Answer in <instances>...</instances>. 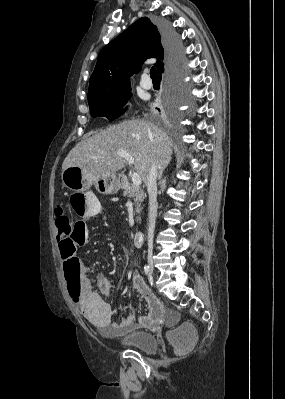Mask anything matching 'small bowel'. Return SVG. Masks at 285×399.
Segmentation results:
<instances>
[{"mask_svg":"<svg viewBox=\"0 0 285 399\" xmlns=\"http://www.w3.org/2000/svg\"><path fill=\"white\" fill-rule=\"evenodd\" d=\"M87 201L79 213L83 218H92L98 215L102 206L100 201L92 194L87 193ZM87 229L84 221L81 222ZM61 238V237H59ZM70 269L78 278V295L72 296L68 291V280L66 279L67 291L71 300L79 308L81 314L93 325L99 328L109 329L116 335H124L139 328H154L161 325L167 318V312L163 305L157 300L144 277L136 272L132 281L139 290L142 300L146 303L148 313L138 316L136 319L128 315L121 319H115L107 299L111 296V285L102 277H99V289L94 290L88 278V271L80 259L72 261Z\"/></svg>","mask_w":285,"mask_h":399,"instance_id":"1","label":"small bowel"}]
</instances>
